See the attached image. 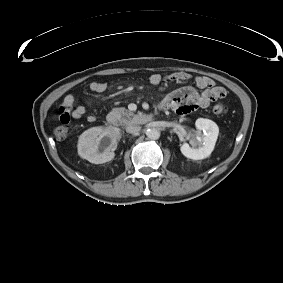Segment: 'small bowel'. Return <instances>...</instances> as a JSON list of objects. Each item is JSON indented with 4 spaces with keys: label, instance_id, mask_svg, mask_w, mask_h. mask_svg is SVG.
<instances>
[{
    "label": "small bowel",
    "instance_id": "obj_1",
    "mask_svg": "<svg viewBox=\"0 0 283 283\" xmlns=\"http://www.w3.org/2000/svg\"><path fill=\"white\" fill-rule=\"evenodd\" d=\"M190 74L186 72H176L170 77L171 82L180 83L190 79ZM152 85H161L164 83L163 78L158 73H153L149 77ZM196 88L186 86L169 93L162 101L164 108H171L179 114H186L197 108H207L212 102L222 99L226 96V91L220 86H216L215 82L207 76H197L194 80ZM90 89L96 93H102L107 89L104 82L94 81L90 84ZM60 119L64 116L71 119H80L86 113V109L79 104L72 94L64 97L60 107ZM89 122L96 120L95 115L87 117Z\"/></svg>",
    "mask_w": 283,
    "mask_h": 283
}]
</instances>
